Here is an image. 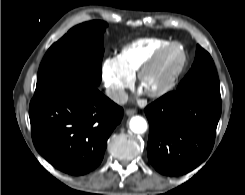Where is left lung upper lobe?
Masks as SVG:
<instances>
[{
  "mask_svg": "<svg viewBox=\"0 0 245 195\" xmlns=\"http://www.w3.org/2000/svg\"><path fill=\"white\" fill-rule=\"evenodd\" d=\"M176 92L220 97L219 78L214 62L201 46L197 45L194 63Z\"/></svg>",
  "mask_w": 245,
  "mask_h": 195,
  "instance_id": "1",
  "label": "left lung upper lobe"
}]
</instances>
